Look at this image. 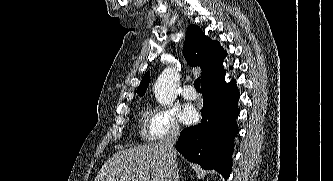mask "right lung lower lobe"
<instances>
[{"mask_svg": "<svg viewBox=\"0 0 333 181\" xmlns=\"http://www.w3.org/2000/svg\"><path fill=\"white\" fill-rule=\"evenodd\" d=\"M202 119L196 126L184 129L176 149L190 162L203 169H214L224 178L232 170L234 137L238 133L235 117L239 110V93L234 80L225 77L215 83L202 86Z\"/></svg>", "mask_w": 333, "mask_h": 181, "instance_id": "right-lung-lower-lobe-1", "label": "right lung lower lobe"}]
</instances>
